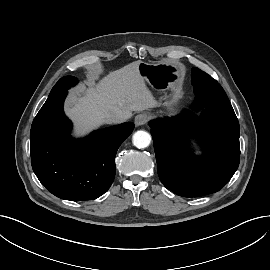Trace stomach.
<instances>
[{
  "instance_id": "0dacf381",
  "label": "stomach",
  "mask_w": 270,
  "mask_h": 270,
  "mask_svg": "<svg viewBox=\"0 0 270 270\" xmlns=\"http://www.w3.org/2000/svg\"><path fill=\"white\" fill-rule=\"evenodd\" d=\"M138 70L144 81L159 95L165 107V113L173 115L178 99L184 67L181 64L162 61L157 63H139Z\"/></svg>"
}]
</instances>
